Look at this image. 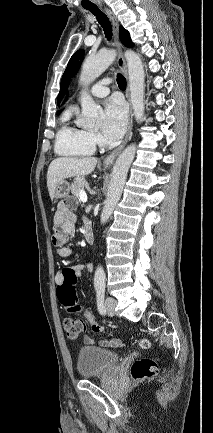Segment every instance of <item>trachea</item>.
Segmentation results:
<instances>
[{
    "instance_id": "obj_1",
    "label": "trachea",
    "mask_w": 213,
    "mask_h": 433,
    "mask_svg": "<svg viewBox=\"0 0 213 433\" xmlns=\"http://www.w3.org/2000/svg\"><path fill=\"white\" fill-rule=\"evenodd\" d=\"M87 9L94 16H96L97 21L99 22V24L102 26V28L104 30V33H105L107 40H110L112 37V26H111V23H110L108 17L103 12H101V10L96 6L89 7ZM117 83H118L119 88L126 89V79L120 73L117 74Z\"/></svg>"
}]
</instances>
